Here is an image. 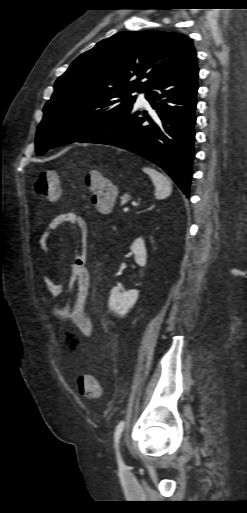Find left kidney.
Wrapping results in <instances>:
<instances>
[{
    "label": "left kidney",
    "mask_w": 247,
    "mask_h": 513,
    "mask_svg": "<svg viewBox=\"0 0 247 513\" xmlns=\"http://www.w3.org/2000/svg\"><path fill=\"white\" fill-rule=\"evenodd\" d=\"M135 255L136 263L144 267L146 265L147 251L145 242L142 238H137L130 247ZM139 291L132 289L124 291L122 287H114L111 290L109 298V307L117 315L123 316L128 313L129 309L133 307L138 299Z\"/></svg>",
    "instance_id": "obj_1"
}]
</instances>
